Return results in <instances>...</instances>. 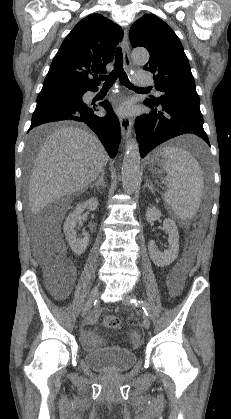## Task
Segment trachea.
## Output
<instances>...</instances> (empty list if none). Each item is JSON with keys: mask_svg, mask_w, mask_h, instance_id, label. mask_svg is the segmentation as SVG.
I'll return each mask as SVG.
<instances>
[{"mask_svg": "<svg viewBox=\"0 0 231 419\" xmlns=\"http://www.w3.org/2000/svg\"><path fill=\"white\" fill-rule=\"evenodd\" d=\"M100 78L105 81L103 87H111L117 78H119L120 83L126 87L133 88V85L129 82L127 74L123 69V54L121 48H117L115 52V64L114 69L109 75H100ZM136 90H148V88L134 87Z\"/></svg>", "mask_w": 231, "mask_h": 419, "instance_id": "1", "label": "trachea"}]
</instances>
